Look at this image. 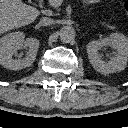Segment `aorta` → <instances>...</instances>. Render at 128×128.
<instances>
[{"label":"aorta","instance_id":"762f6f07","mask_svg":"<svg viewBox=\"0 0 128 128\" xmlns=\"http://www.w3.org/2000/svg\"><path fill=\"white\" fill-rule=\"evenodd\" d=\"M60 39L64 43H69L74 40L76 32L71 26H63L59 31Z\"/></svg>","mask_w":128,"mask_h":128}]
</instances>
